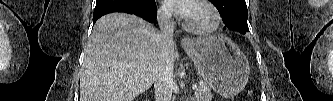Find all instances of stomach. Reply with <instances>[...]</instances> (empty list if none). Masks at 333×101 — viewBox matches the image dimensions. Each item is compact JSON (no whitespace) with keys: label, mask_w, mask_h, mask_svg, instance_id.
Segmentation results:
<instances>
[{"label":"stomach","mask_w":333,"mask_h":101,"mask_svg":"<svg viewBox=\"0 0 333 101\" xmlns=\"http://www.w3.org/2000/svg\"><path fill=\"white\" fill-rule=\"evenodd\" d=\"M184 50L194 62L204 81L224 98L236 97L249 78V64L231 39L221 35L192 41Z\"/></svg>","instance_id":"1"}]
</instances>
